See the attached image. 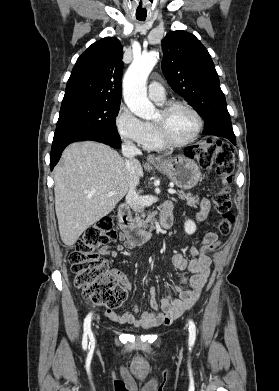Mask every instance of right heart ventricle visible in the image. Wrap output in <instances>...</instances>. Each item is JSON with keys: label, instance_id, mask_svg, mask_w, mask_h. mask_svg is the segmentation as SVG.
Instances as JSON below:
<instances>
[{"label": "right heart ventricle", "instance_id": "obj_1", "mask_svg": "<svg viewBox=\"0 0 279 391\" xmlns=\"http://www.w3.org/2000/svg\"><path fill=\"white\" fill-rule=\"evenodd\" d=\"M159 104H162L163 102H158ZM148 134L147 138L144 141L143 145L146 149L150 150H162L165 148V146L161 143L159 140V137L157 135V132L155 130V127L153 123H146Z\"/></svg>", "mask_w": 279, "mask_h": 391}]
</instances>
